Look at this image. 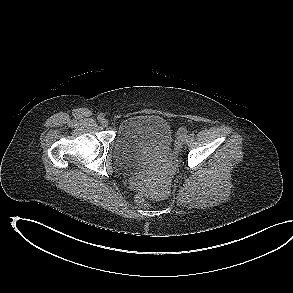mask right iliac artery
<instances>
[{"instance_id": "obj_1", "label": "right iliac artery", "mask_w": 293, "mask_h": 293, "mask_svg": "<svg viewBox=\"0 0 293 293\" xmlns=\"http://www.w3.org/2000/svg\"><path fill=\"white\" fill-rule=\"evenodd\" d=\"M97 119L101 122V120L103 119V115L100 114V115L97 117Z\"/></svg>"}]
</instances>
